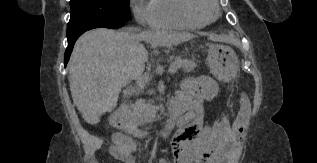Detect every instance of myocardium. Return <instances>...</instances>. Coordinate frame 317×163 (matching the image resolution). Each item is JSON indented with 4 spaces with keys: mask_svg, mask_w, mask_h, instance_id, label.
I'll return each instance as SVG.
<instances>
[{
    "mask_svg": "<svg viewBox=\"0 0 317 163\" xmlns=\"http://www.w3.org/2000/svg\"><path fill=\"white\" fill-rule=\"evenodd\" d=\"M184 13L190 18L208 23L216 20L219 15V5L217 0H182ZM209 11H207V9Z\"/></svg>",
    "mask_w": 317,
    "mask_h": 163,
    "instance_id": "myocardium-1",
    "label": "myocardium"
}]
</instances>
